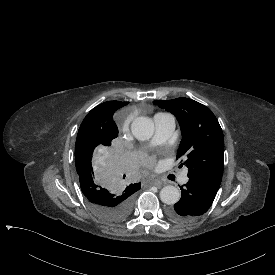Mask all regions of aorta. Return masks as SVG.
<instances>
[{"instance_id":"obj_1","label":"aorta","mask_w":275,"mask_h":275,"mask_svg":"<svg viewBox=\"0 0 275 275\" xmlns=\"http://www.w3.org/2000/svg\"><path fill=\"white\" fill-rule=\"evenodd\" d=\"M154 130V123L148 117H137L131 124L133 136L140 141L149 140L153 136ZM180 197L179 190L172 185L165 186L160 191L161 201L168 205L177 203Z\"/></svg>"}]
</instances>
